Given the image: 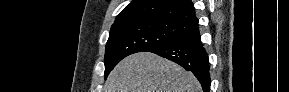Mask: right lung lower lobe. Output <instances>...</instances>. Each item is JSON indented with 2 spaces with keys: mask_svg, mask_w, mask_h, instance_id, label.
I'll use <instances>...</instances> for the list:
<instances>
[{
  "mask_svg": "<svg viewBox=\"0 0 289 92\" xmlns=\"http://www.w3.org/2000/svg\"><path fill=\"white\" fill-rule=\"evenodd\" d=\"M200 38L197 20L189 26L185 34L169 43L151 49L149 52L167 58L191 71L199 80L203 91L209 92L211 84L209 61Z\"/></svg>",
  "mask_w": 289,
  "mask_h": 92,
  "instance_id": "obj_1",
  "label": "right lung lower lobe"
}]
</instances>
